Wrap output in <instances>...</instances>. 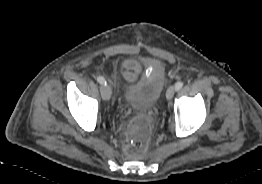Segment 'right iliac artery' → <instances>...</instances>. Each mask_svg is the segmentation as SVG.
<instances>
[{
  "mask_svg": "<svg viewBox=\"0 0 262 184\" xmlns=\"http://www.w3.org/2000/svg\"><path fill=\"white\" fill-rule=\"evenodd\" d=\"M97 81L102 85H107L106 80L102 76H98Z\"/></svg>",
  "mask_w": 262,
  "mask_h": 184,
  "instance_id": "right-iliac-artery-1",
  "label": "right iliac artery"
}]
</instances>
